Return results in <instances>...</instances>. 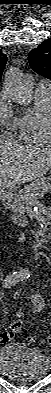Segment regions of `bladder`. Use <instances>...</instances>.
<instances>
[{"instance_id":"31cf9c89","label":"bladder","mask_w":51,"mask_h":393,"mask_svg":"<svg viewBox=\"0 0 51 393\" xmlns=\"http://www.w3.org/2000/svg\"><path fill=\"white\" fill-rule=\"evenodd\" d=\"M0 369L12 381L33 382L49 375L51 363L40 350L7 345L0 350Z\"/></svg>"}]
</instances>
